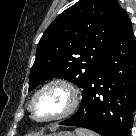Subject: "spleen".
Here are the masks:
<instances>
[{"label":"spleen","instance_id":"1","mask_svg":"<svg viewBox=\"0 0 136 136\" xmlns=\"http://www.w3.org/2000/svg\"><path fill=\"white\" fill-rule=\"evenodd\" d=\"M76 133H77V136H97V135H94L92 132L85 129H77Z\"/></svg>","mask_w":136,"mask_h":136}]
</instances>
